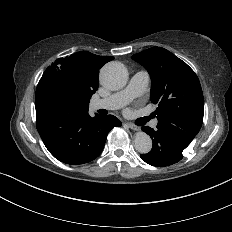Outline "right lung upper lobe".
<instances>
[{
	"label": "right lung upper lobe",
	"mask_w": 232,
	"mask_h": 232,
	"mask_svg": "<svg viewBox=\"0 0 232 232\" xmlns=\"http://www.w3.org/2000/svg\"><path fill=\"white\" fill-rule=\"evenodd\" d=\"M112 56H98L88 51L77 52L66 58L57 59L49 68L57 69L75 80L86 92L94 93L98 89L99 69L113 60ZM46 101L36 90L35 104Z\"/></svg>",
	"instance_id": "cb5924a9"
}]
</instances>
